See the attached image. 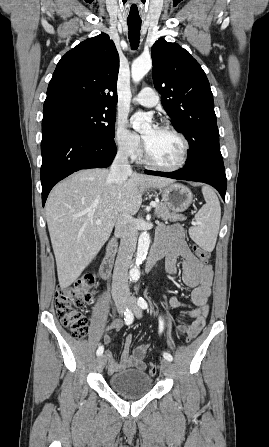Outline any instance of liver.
Here are the masks:
<instances>
[{"instance_id": "obj_1", "label": "liver", "mask_w": 269, "mask_h": 447, "mask_svg": "<svg viewBox=\"0 0 269 447\" xmlns=\"http://www.w3.org/2000/svg\"><path fill=\"white\" fill-rule=\"evenodd\" d=\"M109 170H81L53 188L45 216L60 287L71 285L107 241L121 214L135 216L145 188L174 180L130 174L123 184L108 180ZM102 220V224H96Z\"/></svg>"}]
</instances>
